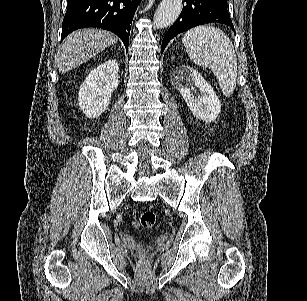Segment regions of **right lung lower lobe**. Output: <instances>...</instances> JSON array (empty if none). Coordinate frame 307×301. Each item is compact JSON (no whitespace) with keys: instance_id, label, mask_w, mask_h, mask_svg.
Here are the masks:
<instances>
[{"instance_id":"98d812e1","label":"right lung lower lobe","mask_w":307,"mask_h":301,"mask_svg":"<svg viewBox=\"0 0 307 301\" xmlns=\"http://www.w3.org/2000/svg\"><path fill=\"white\" fill-rule=\"evenodd\" d=\"M140 0H67L62 23L61 40L69 33L84 27L109 30L120 37L125 48L134 13Z\"/></svg>"}]
</instances>
